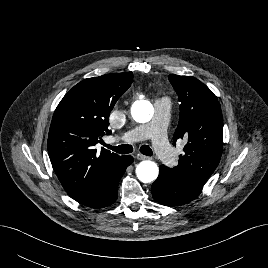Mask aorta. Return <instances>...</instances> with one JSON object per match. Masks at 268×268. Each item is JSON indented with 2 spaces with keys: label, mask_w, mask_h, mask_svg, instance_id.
<instances>
[{
  "label": "aorta",
  "mask_w": 268,
  "mask_h": 268,
  "mask_svg": "<svg viewBox=\"0 0 268 268\" xmlns=\"http://www.w3.org/2000/svg\"><path fill=\"white\" fill-rule=\"evenodd\" d=\"M154 114L152 104L147 100L134 102L131 107V115L138 123L149 122ZM159 174L158 165L150 160L140 162L136 167L137 178L143 183H150L156 180Z\"/></svg>",
  "instance_id": "1"
}]
</instances>
